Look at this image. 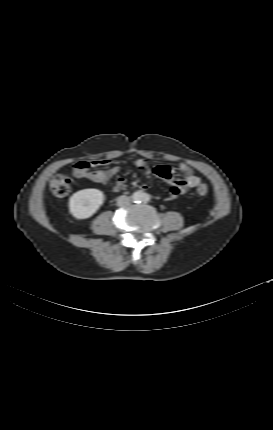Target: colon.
Masks as SVG:
<instances>
[{
  "label": "colon",
  "mask_w": 273,
  "mask_h": 430,
  "mask_svg": "<svg viewBox=\"0 0 273 430\" xmlns=\"http://www.w3.org/2000/svg\"><path fill=\"white\" fill-rule=\"evenodd\" d=\"M51 192L57 197L66 196L72 188V179L63 173H58L52 177L49 183ZM209 186L205 183H201L197 186V194L204 196L208 193Z\"/></svg>",
  "instance_id": "obj_1"
}]
</instances>
